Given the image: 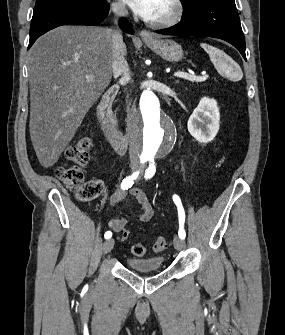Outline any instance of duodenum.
I'll use <instances>...</instances> for the list:
<instances>
[{
	"label": "duodenum",
	"mask_w": 285,
	"mask_h": 335,
	"mask_svg": "<svg viewBox=\"0 0 285 335\" xmlns=\"http://www.w3.org/2000/svg\"><path fill=\"white\" fill-rule=\"evenodd\" d=\"M119 87L113 85L103 95L98 108L97 118L99 126L115 151L120 154L126 152L128 147V137L121 130L116 117L113 114V102L118 93Z\"/></svg>",
	"instance_id": "410a0bca"
}]
</instances>
